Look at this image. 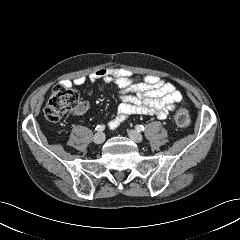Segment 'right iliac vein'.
<instances>
[{
	"mask_svg": "<svg viewBox=\"0 0 240 240\" xmlns=\"http://www.w3.org/2000/svg\"><path fill=\"white\" fill-rule=\"evenodd\" d=\"M105 141V134L98 132L93 137V142L96 144H102Z\"/></svg>",
	"mask_w": 240,
	"mask_h": 240,
	"instance_id": "right-iliac-vein-1",
	"label": "right iliac vein"
}]
</instances>
